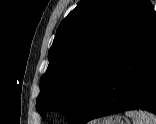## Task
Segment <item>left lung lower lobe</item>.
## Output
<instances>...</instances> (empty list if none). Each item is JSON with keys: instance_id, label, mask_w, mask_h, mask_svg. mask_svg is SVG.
I'll list each match as a JSON object with an SVG mask.
<instances>
[{"instance_id": "1", "label": "left lung lower lobe", "mask_w": 156, "mask_h": 124, "mask_svg": "<svg viewBox=\"0 0 156 124\" xmlns=\"http://www.w3.org/2000/svg\"><path fill=\"white\" fill-rule=\"evenodd\" d=\"M126 110L156 115V17L116 61L79 124Z\"/></svg>"}]
</instances>
